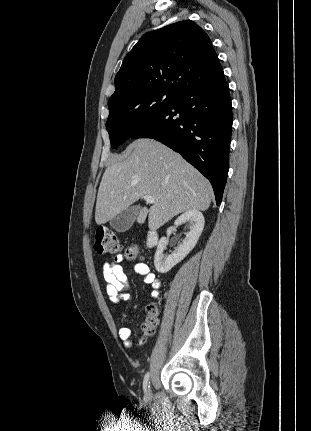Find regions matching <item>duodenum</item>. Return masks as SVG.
I'll list each match as a JSON object with an SVG mask.
<instances>
[{"label": "duodenum", "instance_id": "1", "mask_svg": "<svg viewBox=\"0 0 311 431\" xmlns=\"http://www.w3.org/2000/svg\"><path fill=\"white\" fill-rule=\"evenodd\" d=\"M158 242V234L155 230H150L147 234L146 244L149 248L156 246Z\"/></svg>", "mask_w": 311, "mask_h": 431}]
</instances>
